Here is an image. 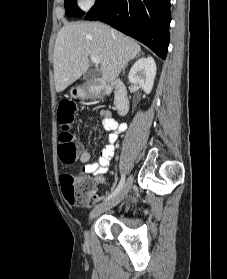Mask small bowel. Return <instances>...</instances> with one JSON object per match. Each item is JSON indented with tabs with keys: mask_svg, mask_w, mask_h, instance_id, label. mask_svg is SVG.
Returning <instances> with one entry per match:
<instances>
[{
	"mask_svg": "<svg viewBox=\"0 0 227 279\" xmlns=\"http://www.w3.org/2000/svg\"><path fill=\"white\" fill-rule=\"evenodd\" d=\"M100 115L102 117L103 127L110 132L107 138V144L99 152V159L97 162L90 163L91 153L86 150H82L80 162L84 164L82 168L83 176H93L99 184H103L105 183L104 175L108 170L110 160L114 154L118 133L124 132L126 130V125L113 119L107 110H101ZM65 197L69 203H74L72 193L65 192ZM96 200L97 198L94 199V201Z\"/></svg>",
	"mask_w": 227,
	"mask_h": 279,
	"instance_id": "small-bowel-1",
	"label": "small bowel"
}]
</instances>
